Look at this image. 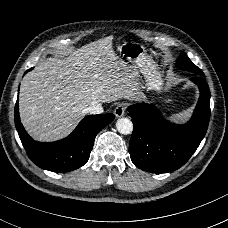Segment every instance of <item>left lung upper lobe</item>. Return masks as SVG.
<instances>
[{
	"instance_id": "1",
	"label": "left lung upper lobe",
	"mask_w": 228,
	"mask_h": 228,
	"mask_svg": "<svg viewBox=\"0 0 228 228\" xmlns=\"http://www.w3.org/2000/svg\"><path fill=\"white\" fill-rule=\"evenodd\" d=\"M176 66L179 69L192 72L197 76H204V73L202 72V70L199 69L196 65H194L185 53H182L179 55L176 61Z\"/></svg>"
}]
</instances>
